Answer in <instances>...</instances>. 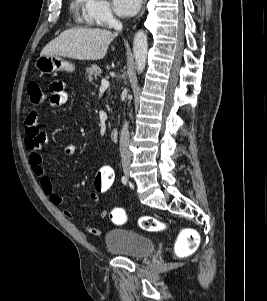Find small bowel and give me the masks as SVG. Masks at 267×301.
<instances>
[{
	"label": "small bowel",
	"mask_w": 267,
	"mask_h": 301,
	"mask_svg": "<svg viewBox=\"0 0 267 301\" xmlns=\"http://www.w3.org/2000/svg\"><path fill=\"white\" fill-rule=\"evenodd\" d=\"M68 93L66 84L62 80L54 81L50 86V105L59 107L66 103ZM25 139L24 143L29 151V164L32 172L38 177L39 184L43 192L49 197L50 201L58 206L63 203V197L57 194L52 181L47 176L43 168V157L41 155V148L47 143L48 139L45 133L42 132L38 123V113L36 110H31L25 118ZM76 147L73 144H68L64 148V152L68 156L74 155ZM89 199L92 202H99L100 196L94 191L89 193ZM64 214L71 217L72 214L69 210H64ZM101 217H105L107 212L101 211ZM87 231L92 235L99 236L101 231L97 228L87 227Z\"/></svg>",
	"instance_id": "c3829d8e"
}]
</instances>
